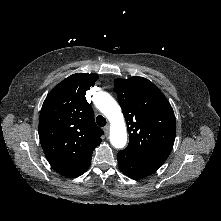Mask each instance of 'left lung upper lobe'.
I'll return each instance as SVG.
<instances>
[{"label":"left lung upper lobe","mask_w":221,"mask_h":221,"mask_svg":"<svg viewBox=\"0 0 221 221\" xmlns=\"http://www.w3.org/2000/svg\"><path fill=\"white\" fill-rule=\"evenodd\" d=\"M114 89L129 132L128 150L162 166L172 151L176 135L173 109L163 93L148 79H116Z\"/></svg>","instance_id":"obj_1"}]
</instances>
